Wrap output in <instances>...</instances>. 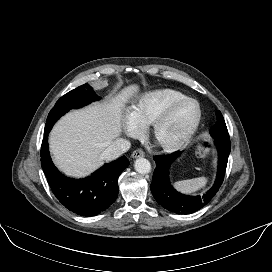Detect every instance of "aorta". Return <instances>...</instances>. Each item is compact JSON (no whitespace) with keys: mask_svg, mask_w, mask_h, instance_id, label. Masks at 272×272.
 <instances>
[{"mask_svg":"<svg viewBox=\"0 0 272 272\" xmlns=\"http://www.w3.org/2000/svg\"><path fill=\"white\" fill-rule=\"evenodd\" d=\"M135 170L140 174H148L151 172V164L145 158H138L134 162Z\"/></svg>","mask_w":272,"mask_h":272,"instance_id":"aorta-1","label":"aorta"}]
</instances>
